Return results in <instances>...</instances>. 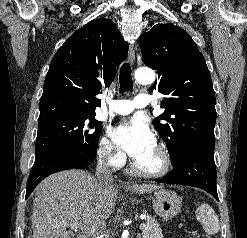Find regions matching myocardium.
Instances as JSON below:
<instances>
[{"mask_svg":"<svg viewBox=\"0 0 247 238\" xmlns=\"http://www.w3.org/2000/svg\"><path fill=\"white\" fill-rule=\"evenodd\" d=\"M155 148L157 152L159 153L161 164L160 167L157 170L149 171L141 168L136 161H133L131 164L132 170L139 176L145 177V178H160L163 177L168 173L171 167V157L169 154L168 149L160 144L156 143Z\"/></svg>","mask_w":247,"mask_h":238,"instance_id":"obj_1","label":"myocardium"}]
</instances>
